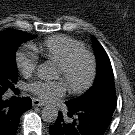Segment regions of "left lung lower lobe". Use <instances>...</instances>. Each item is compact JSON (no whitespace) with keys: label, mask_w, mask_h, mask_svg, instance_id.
<instances>
[{"label":"left lung lower lobe","mask_w":135,"mask_h":135,"mask_svg":"<svg viewBox=\"0 0 135 135\" xmlns=\"http://www.w3.org/2000/svg\"><path fill=\"white\" fill-rule=\"evenodd\" d=\"M66 105L68 116L74 117L73 120L67 122L60 112L55 124L50 126V135H103L115 110L110 104Z\"/></svg>","instance_id":"left-lung-lower-lobe-1"}]
</instances>
